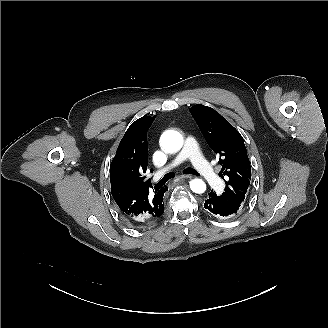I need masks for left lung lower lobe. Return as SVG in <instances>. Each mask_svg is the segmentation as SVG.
Wrapping results in <instances>:
<instances>
[{
	"label": "left lung lower lobe",
	"instance_id": "left-lung-lower-lobe-1",
	"mask_svg": "<svg viewBox=\"0 0 328 328\" xmlns=\"http://www.w3.org/2000/svg\"><path fill=\"white\" fill-rule=\"evenodd\" d=\"M209 198L204 203V208L211 215L218 218L227 219L237 213V210L219 200L212 192L208 194Z\"/></svg>",
	"mask_w": 328,
	"mask_h": 328
}]
</instances>
